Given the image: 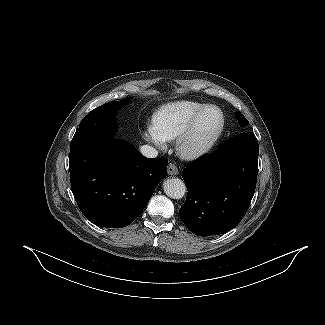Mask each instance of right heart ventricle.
I'll list each match as a JSON object with an SVG mask.
<instances>
[{
	"instance_id": "right-heart-ventricle-1",
	"label": "right heart ventricle",
	"mask_w": 325,
	"mask_h": 325,
	"mask_svg": "<svg viewBox=\"0 0 325 325\" xmlns=\"http://www.w3.org/2000/svg\"><path fill=\"white\" fill-rule=\"evenodd\" d=\"M207 104L182 100L161 107L153 116L151 127L165 141L177 138L193 116Z\"/></svg>"
}]
</instances>
